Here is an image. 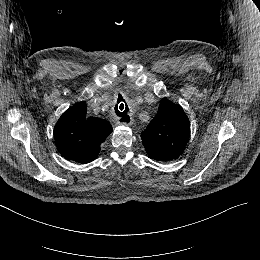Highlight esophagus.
<instances>
[{
  "mask_svg": "<svg viewBox=\"0 0 260 260\" xmlns=\"http://www.w3.org/2000/svg\"><path fill=\"white\" fill-rule=\"evenodd\" d=\"M119 123V121H117ZM124 125H133L134 124V119L132 117H130V120L127 122H122Z\"/></svg>",
  "mask_w": 260,
  "mask_h": 260,
  "instance_id": "34e87169",
  "label": "esophagus"
}]
</instances>
